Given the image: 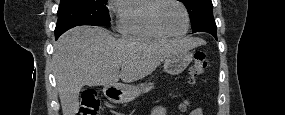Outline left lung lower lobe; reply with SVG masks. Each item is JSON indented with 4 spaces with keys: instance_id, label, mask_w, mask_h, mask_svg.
<instances>
[{
    "instance_id": "obj_1",
    "label": "left lung lower lobe",
    "mask_w": 285,
    "mask_h": 115,
    "mask_svg": "<svg viewBox=\"0 0 285 115\" xmlns=\"http://www.w3.org/2000/svg\"><path fill=\"white\" fill-rule=\"evenodd\" d=\"M200 32L210 33L215 39H217V27L215 23L204 26Z\"/></svg>"
}]
</instances>
